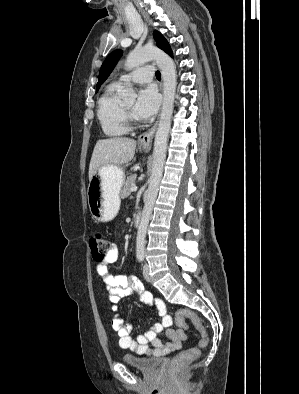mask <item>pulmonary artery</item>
<instances>
[{"label":"pulmonary artery","mask_w":299,"mask_h":394,"mask_svg":"<svg viewBox=\"0 0 299 394\" xmlns=\"http://www.w3.org/2000/svg\"><path fill=\"white\" fill-rule=\"evenodd\" d=\"M153 76H154L153 67L150 65H146L136 69L134 72L128 75L127 78L133 83L141 84V83L150 82Z\"/></svg>","instance_id":"pulmonary-artery-1"}]
</instances>
